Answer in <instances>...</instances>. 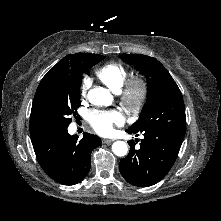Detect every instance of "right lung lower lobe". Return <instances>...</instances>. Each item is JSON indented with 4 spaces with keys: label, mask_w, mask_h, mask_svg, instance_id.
<instances>
[{
    "label": "right lung lower lobe",
    "mask_w": 221,
    "mask_h": 221,
    "mask_svg": "<svg viewBox=\"0 0 221 221\" xmlns=\"http://www.w3.org/2000/svg\"><path fill=\"white\" fill-rule=\"evenodd\" d=\"M31 141L42 169L63 185L77 184L86 177L91 152L101 145L98 136L85 132L78 140L77 135L68 134L67 128L32 137Z\"/></svg>",
    "instance_id": "1"
}]
</instances>
